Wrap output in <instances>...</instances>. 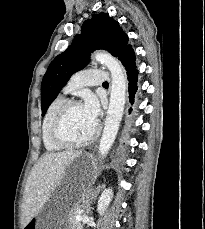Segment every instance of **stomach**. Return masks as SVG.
I'll use <instances>...</instances> for the list:
<instances>
[{
  "mask_svg": "<svg viewBox=\"0 0 205 229\" xmlns=\"http://www.w3.org/2000/svg\"><path fill=\"white\" fill-rule=\"evenodd\" d=\"M91 172L92 156L85 153L73 162L65 173L63 187L51 195L41 211L24 229H70L69 217L75 208L74 203L86 189Z\"/></svg>",
  "mask_w": 205,
  "mask_h": 229,
  "instance_id": "obj_1",
  "label": "stomach"
}]
</instances>
